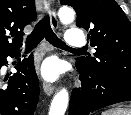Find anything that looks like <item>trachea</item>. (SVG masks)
Here are the masks:
<instances>
[{
	"mask_svg": "<svg viewBox=\"0 0 131 115\" xmlns=\"http://www.w3.org/2000/svg\"><path fill=\"white\" fill-rule=\"evenodd\" d=\"M43 38H45L49 43L57 48L85 51L84 48H70L61 39H59L51 28L50 17L48 14L39 21V23L35 26L33 32L27 37L26 49H34Z\"/></svg>",
	"mask_w": 131,
	"mask_h": 115,
	"instance_id": "obj_1",
	"label": "trachea"
}]
</instances>
